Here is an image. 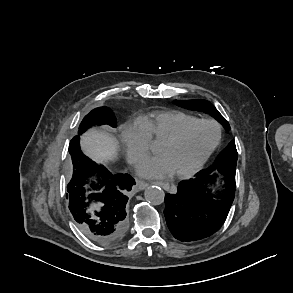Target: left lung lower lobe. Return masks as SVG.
<instances>
[{"mask_svg":"<svg viewBox=\"0 0 293 293\" xmlns=\"http://www.w3.org/2000/svg\"><path fill=\"white\" fill-rule=\"evenodd\" d=\"M235 172H221L224 186L219 199L207 189L212 174L206 170L196 174L194 179L180 183L175 194L165 196V219L176 239L197 241L220 229L235 197Z\"/></svg>","mask_w":293,"mask_h":293,"instance_id":"0a47b994","label":"left lung lower lobe"}]
</instances>
